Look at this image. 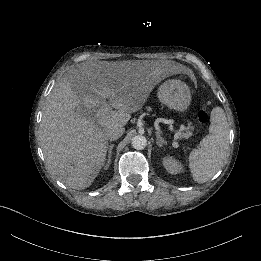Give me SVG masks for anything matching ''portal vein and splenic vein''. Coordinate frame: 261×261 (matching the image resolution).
I'll use <instances>...</instances> for the list:
<instances>
[{
  "label": "portal vein and splenic vein",
  "instance_id": "18ae733b",
  "mask_svg": "<svg viewBox=\"0 0 261 261\" xmlns=\"http://www.w3.org/2000/svg\"><path fill=\"white\" fill-rule=\"evenodd\" d=\"M182 138H184V135H182V133L181 132H177L176 134H175V137L173 138V143L171 144V147L172 148H179L180 147V144L178 143V140L179 139H182Z\"/></svg>",
  "mask_w": 261,
  "mask_h": 261
}]
</instances>
